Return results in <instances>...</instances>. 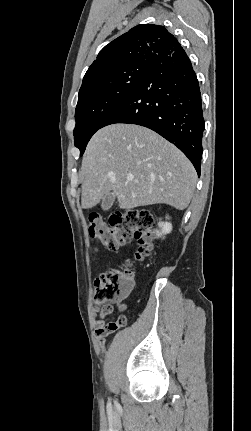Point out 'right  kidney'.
Wrapping results in <instances>:
<instances>
[{
	"label": "right kidney",
	"instance_id": "1",
	"mask_svg": "<svg viewBox=\"0 0 251 431\" xmlns=\"http://www.w3.org/2000/svg\"><path fill=\"white\" fill-rule=\"evenodd\" d=\"M168 219V216L166 217ZM158 226L160 231H156L157 236L169 234L172 231V224L170 222H159Z\"/></svg>",
	"mask_w": 251,
	"mask_h": 431
}]
</instances>
